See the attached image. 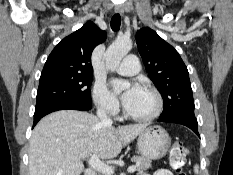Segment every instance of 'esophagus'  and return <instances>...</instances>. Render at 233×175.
<instances>
[{
  "instance_id": "obj_1",
  "label": "esophagus",
  "mask_w": 233,
  "mask_h": 175,
  "mask_svg": "<svg viewBox=\"0 0 233 175\" xmlns=\"http://www.w3.org/2000/svg\"><path fill=\"white\" fill-rule=\"evenodd\" d=\"M115 13H118V14H123L124 13V10L122 8V6H116L115 7Z\"/></svg>"
}]
</instances>
